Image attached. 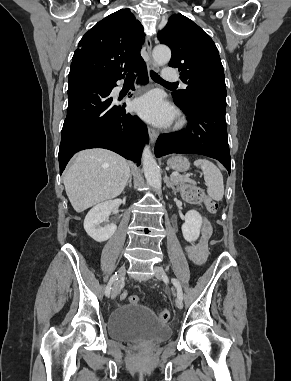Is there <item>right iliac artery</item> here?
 Segmentation results:
<instances>
[{"label": "right iliac artery", "instance_id": "1", "mask_svg": "<svg viewBox=\"0 0 291 381\" xmlns=\"http://www.w3.org/2000/svg\"><path fill=\"white\" fill-rule=\"evenodd\" d=\"M117 280H118V274H117V272H116V273L110 278L109 283H108V285H107V287H106V291H105L106 296H109V295H110L111 285H112L113 283H115Z\"/></svg>", "mask_w": 291, "mask_h": 381}]
</instances>
